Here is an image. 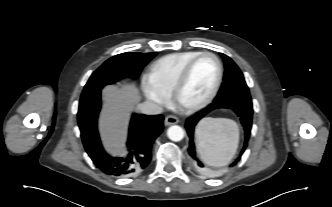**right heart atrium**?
I'll return each mask as SVG.
<instances>
[{"mask_svg": "<svg viewBox=\"0 0 332 207\" xmlns=\"http://www.w3.org/2000/svg\"><path fill=\"white\" fill-rule=\"evenodd\" d=\"M143 90L146 97L158 105L164 106L168 103V96L153 88L149 83H144Z\"/></svg>", "mask_w": 332, "mask_h": 207, "instance_id": "obj_1", "label": "right heart atrium"}]
</instances>
